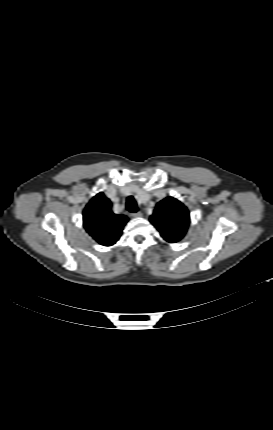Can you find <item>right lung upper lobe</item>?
<instances>
[{"instance_id":"1","label":"right lung upper lobe","mask_w":273,"mask_h":430,"mask_svg":"<svg viewBox=\"0 0 273 430\" xmlns=\"http://www.w3.org/2000/svg\"><path fill=\"white\" fill-rule=\"evenodd\" d=\"M111 202L101 192L91 199L83 211L86 231L101 245L111 246L119 239L128 218L111 211Z\"/></svg>"}]
</instances>
